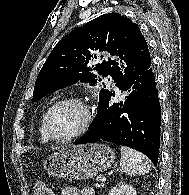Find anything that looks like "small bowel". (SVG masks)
Returning <instances> with one entry per match:
<instances>
[{"mask_svg": "<svg viewBox=\"0 0 189 195\" xmlns=\"http://www.w3.org/2000/svg\"><path fill=\"white\" fill-rule=\"evenodd\" d=\"M62 195H95L91 187H83L81 189L69 187L63 190Z\"/></svg>", "mask_w": 189, "mask_h": 195, "instance_id": "1", "label": "small bowel"}]
</instances>
